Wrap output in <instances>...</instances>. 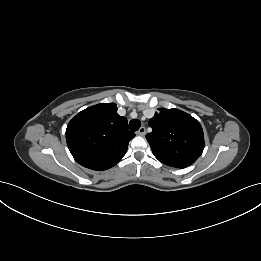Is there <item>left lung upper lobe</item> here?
<instances>
[{
  "mask_svg": "<svg viewBox=\"0 0 261 261\" xmlns=\"http://www.w3.org/2000/svg\"><path fill=\"white\" fill-rule=\"evenodd\" d=\"M152 132L146 135L154 156L162 163L185 168L193 164L204 149L200 123L178 109H159L149 120Z\"/></svg>",
  "mask_w": 261,
  "mask_h": 261,
  "instance_id": "left-lung-upper-lobe-1",
  "label": "left lung upper lobe"
}]
</instances>
